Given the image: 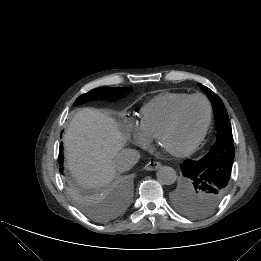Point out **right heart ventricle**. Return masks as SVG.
Instances as JSON below:
<instances>
[{
  "label": "right heart ventricle",
  "mask_w": 261,
  "mask_h": 261,
  "mask_svg": "<svg viewBox=\"0 0 261 261\" xmlns=\"http://www.w3.org/2000/svg\"><path fill=\"white\" fill-rule=\"evenodd\" d=\"M189 96L187 93L165 92L153 98L141 109L140 130L146 136L156 138L176 106Z\"/></svg>",
  "instance_id": "1"
}]
</instances>
